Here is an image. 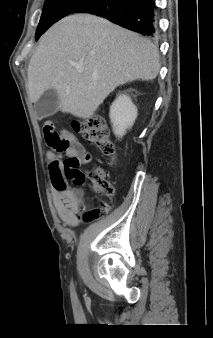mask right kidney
I'll return each mask as SVG.
<instances>
[{
	"label": "right kidney",
	"mask_w": 213,
	"mask_h": 338,
	"mask_svg": "<svg viewBox=\"0 0 213 338\" xmlns=\"http://www.w3.org/2000/svg\"><path fill=\"white\" fill-rule=\"evenodd\" d=\"M137 107L128 95L122 94L110 107V119L114 134L122 137L131 128L137 118Z\"/></svg>",
	"instance_id": "right-kidney-1"
}]
</instances>
